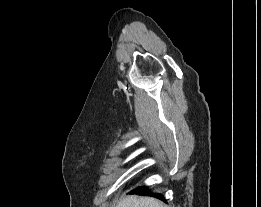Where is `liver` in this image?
<instances>
[{
	"label": "liver",
	"instance_id": "1",
	"mask_svg": "<svg viewBox=\"0 0 261 207\" xmlns=\"http://www.w3.org/2000/svg\"><path fill=\"white\" fill-rule=\"evenodd\" d=\"M116 207H166V206L161 201L155 198L127 196L121 199Z\"/></svg>",
	"mask_w": 261,
	"mask_h": 207
}]
</instances>
